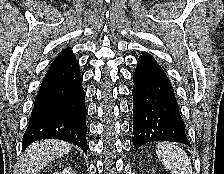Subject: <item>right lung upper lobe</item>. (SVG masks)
Returning <instances> with one entry per match:
<instances>
[{"label":"right lung upper lobe","instance_id":"1","mask_svg":"<svg viewBox=\"0 0 224 174\" xmlns=\"http://www.w3.org/2000/svg\"><path fill=\"white\" fill-rule=\"evenodd\" d=\"M71 51H69L68 49H64L63 51H61V53L59 54L60 55H64V54H67V53H70Z\"/></svg>","mask_w":224,"mask_h":174}]
</instances>
